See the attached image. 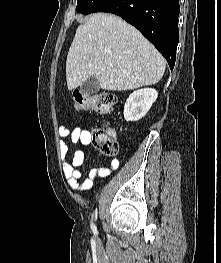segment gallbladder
Wrapping results in <instances>:
<instances>
[{
	"label": "gallbladder",
	"mask_w": 221,
	"mask_h": 263,
	"mask_svg": "<svg viewBox=\"0 0 221 263\" xmlns=\"http://www.w3.org/2000/svg\"><path fill=\"white\" fill-rule=\"evenodd\" d=\"M100 90V85L96 77H89L81 86L80 92L84 95H92Z\"/></svg>",
	"instance_id": "obj_1"
}]
</instances>
